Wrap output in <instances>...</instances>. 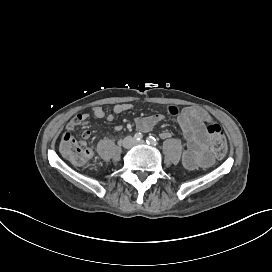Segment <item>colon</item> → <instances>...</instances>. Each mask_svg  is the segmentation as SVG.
<instances>
[{
	"instance_id": "1",
	"label": "colon",
	"mask_w": 272,
	"mask_h": 272,
	"mask_svg": "<svg viewBox=\"0 0 272 272\" xmlns=\"http://www.w3.org/2000/svg\"><path fill=\"white\" fill-rule=\"evenodd\" d=\"M206 130L210 135L209 146L214 156L218 158L224 156L227 149L225 133L215 123L209 124ZM61 149L78 167H85L90 162L88 146L83 141H77L73 137H66L61 142Z\"/></svg>"
}]
</instances>
